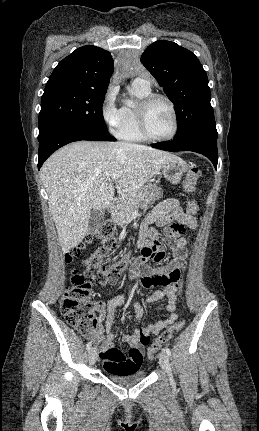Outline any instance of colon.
<instances>
[{
	"mask_svg": "<svg viewBox=\"0 0 259 431\" xmlns=\"http://www.w3.org/2000/svg\"><path fill=\"white\" fill-rule=\"evenodd\" d=\"M201 177L200 169L193 165L190 167L184 181L187 191L193 192L196 183ZM189 216L198 214L197 205L193 201L187 202ZM167 234L172 238H180L185 234V226L182 223H174L167 228ZM92 240L100 242L96 250L84 261L85 272L80 273L77 269L71 271L70 285L65 288L60 301V311L67 322L86 336L92 335L99 326V318L95 315L96 305L90 300L92 285H105L115 283L122 272L131 263L129 255L111 265L104 264V260L110 255L117 245L115 226L111 222L102 225L94 234L87 237L85 243ZM81 247L78 246L65 255L66 263L70 264L74 258L79 256ZM165 258V249L161 242L155 240L140 248L138 258L132 262L131 271L146 264L148 261L160 262ZM184 326L180 320L164 329L148 348V359H153L157 351ZM150 335L143 331L140 334V342L147 345ZM132 356H137V350L128 346L125 349ZM132 365L125 366L121 372L135 371Z\"/></svg>",
	"mask_w": 259,
	"mask_h": 431,
	"instance_id": "1",
	"label": "colon"
}]
</instances>
